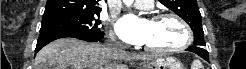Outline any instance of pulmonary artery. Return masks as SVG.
<instances>
[{
    "label": "pulmonary artery",
    "mask_w": 246,
    "mask_h": 69,
    "mask_svg": "<svg viewBox=\"0 0 246 69\" xmlns=\"http://www.w3.org/2000/svg\"><path fill=\"white\" fill-rule=\"evenodd\" d=\"M135 7L140 9H151L153 5L152 0H138L134 2Z\"/></svg>",
    "instance_id": "1"
}]
</instances>
